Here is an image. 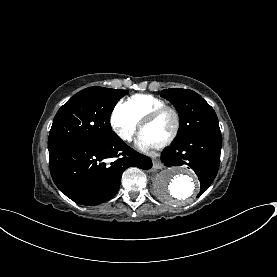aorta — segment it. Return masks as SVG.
Listing matches in <instances>:
<instances>
[{"instance_id": "obj_1", "label": "aorta", "mask_w": 277, "mask_h": 277, "mask_svg": "<svg viewBox=\"0 0 277 277\" xmlns=\"http://www.w3.org/2000/svg\"><path fill=\"white\" fill-rule=\"evenodd\" d=\"M154 188L166 203L179 204L192 199L199 192L200 183L189 169L167 168L157 174Z\"/></svg>"}]
</instances>
